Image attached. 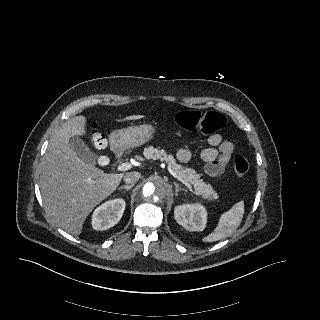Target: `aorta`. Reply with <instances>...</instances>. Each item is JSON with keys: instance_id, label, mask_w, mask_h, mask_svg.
<instances>
[{"instance_id": "1", "label": "aorta", "mask_w": 320, "mask_h": 320, "mask_svg": "<svg viewBox=\"0 0 320 320\" xmlns=\"http://www.w3.org/2000/svg\"><path fill=\"white\" fill-rule=\"evenodd\" d=\"M169 193V184L158 176L150 178L141 189L143 201L152 206H158V204L165 200Z\"/></svg>"}]
</instances>
